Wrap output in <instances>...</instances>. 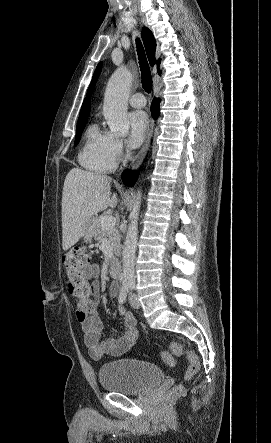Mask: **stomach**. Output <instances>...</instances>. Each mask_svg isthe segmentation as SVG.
<instances>
[{"label":"stomach","instance_id":"1","mask_svg":"<svg viewBox=\"0 0 271 443\" xmlns=\"http://www.w3.org/2000/svg\"><path fill=\"white\" fill-rule=\"evenodd\" d=\"M94 222L95 218H90L89 222L85 225V233H83L82 237L84 241H91L94 237Z\"/></svg>","mask_w":271,"mask_h":443}]
</instances>
